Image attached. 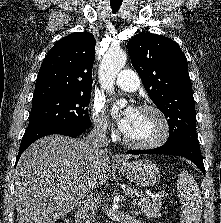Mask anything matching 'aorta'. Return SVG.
Returning <instances> with one entry per match:
<instances>
[{
  "label": "aorta",
  "mask_w": 221,
  "mask_h": 223,
  "mask_svg": "<svg viewBox=\"0 0 221 223\" xmlns=\"http://www.w3.org/2000/svg\"><path fill=\"white\" fill-rule=\"evenodd\" d=\"M127 60L126 53L120 49H110L103 57L99 66V81L103 88L110 93L114 89V81L117 74L125 66ZM127 101L120 99L113 106L112 113H116L118 109L125 107Z\"/></svg>",
  "instance_id": "762f6f07"
}]
</instances>
